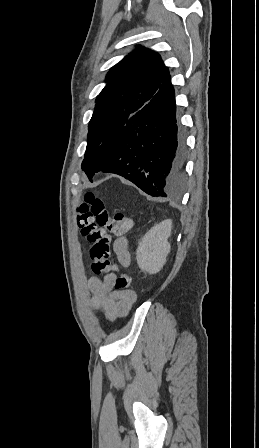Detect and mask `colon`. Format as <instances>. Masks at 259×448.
Returning a JSON list of instances; mask_svg holds the SVG:
<instances>
[{"mask_svg": "<svg viewBox=\"0 0 259 448\" xmlns=\"http://www.w3.org/2000/svg\"><path fill=\"white\" fill-rule=\"evenodd\" d=\"M77 225L81 234L90 243L92 270L97 275L117 272L114 287L116 290H128L131 278L120 272L118 266L111 262V238L123 236L133 227L131 217L122 213L111 216L105 209L103 201L92 192L84 195L83 202L77 207Z\"/></svg>", "mask_w": 259, "mask_h": 448, "instance_id": "1", "label": "colon"}]
</instances>
